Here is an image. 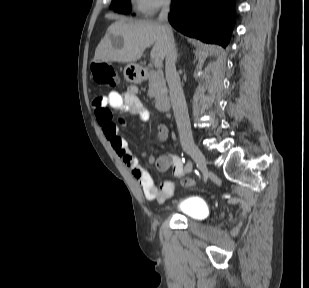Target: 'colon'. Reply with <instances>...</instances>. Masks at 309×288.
Segmentation results:
<instances>
[{"instance_id": "colon-1", "label": "colon", "mask_w": 309, "mask_h": 288, "mask_svg": "<svg viewBox=\"0 0 309 288\" xmlns=\"http://www.w3.org/2000/svg\"><path fill=\"white\" fill-rule=\"evenodd\" d=\"M94 80L97 84L114 87L117 84V75L113 67L106 63H96L93 68ZM183 186H191L194 181L184 178L181 181Z\"/></svg>"}]
</instances>
